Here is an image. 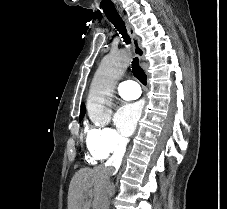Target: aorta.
Wrapping results in <instances>:
<instances>
[{
    "mask_svg": "<svg viewBox=\"0 0 227 209\" xmlns=\"http://www.w3.org/2000/svg\"><path fill=\"white\" fill-rule=\"evenodd\" d=\"M130 63L129 53L122 49L105 56L93 78L87 101V111L91 120L110 113L108 104L116 80L120 78Z\"/></svg>",
    "mask_w": 227,
    "mask_h": 209,
    "instance_id": "aorta-1",
    "label": "aorta"
}]
</instances>
